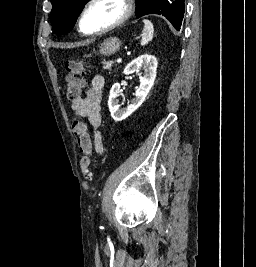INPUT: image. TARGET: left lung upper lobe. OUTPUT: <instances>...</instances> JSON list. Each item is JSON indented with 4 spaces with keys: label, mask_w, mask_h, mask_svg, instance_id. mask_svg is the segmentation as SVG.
I'll list each match as a JSON object with an SVG mask.
<instances>
[{
    "label": "left lung upper lobe",
    "mask_w": 256,
    "mask_h": 267,
    "mask_svg": "<svg viewBox=\"0 0 256 267\" xmlns=\"http://www.w3.org/2000/svg\"><path fill=\"white\" fill-rule=\"evenodd\" d=\"M51 23L59 34H67L74 26L89 0H50ZM137 18L147 14L165 16L171 23L175 18V0H137Z\"/></svg>",
    "instance_id": "left-lung-upper-lobe-1"
}]
</instances>
